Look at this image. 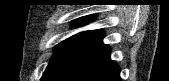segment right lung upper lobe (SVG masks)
Instances as JSON below:
<instances>
[{
    "label": "right lung upper lobe",
    "instance_id": "cb5924a9",
    "mask_svg": "<svg viewBox=\"0 0 169 81\" xmlns=\"http://www.w3.org/2000/svg\"><path fill=\"white\" fill-rule=\"evenodd\" d=\"M94 19H95V16L90 15V16L82 17V18L79 19V20H83V21H85V22H90V21H92V20H94Z\"/></svg>",
    "mask_w": 169,
    "mask_h": 81
}]
</instances>
